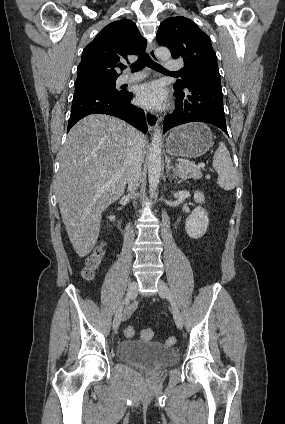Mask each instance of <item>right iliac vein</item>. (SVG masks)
<instances>
[{"mask_svg":"<svg viewBox=\"0 0 285 424\" xmlns=\"http://www.w3.org/2000/svg\"><path fill=\"white\" fill-rule=\"evenodd\" d=\"M136 290H137V282L134 280L129 284V286L127 288L125 299L115 312L114 319H113V330L114 331H117V329H118V327L121 323V320H126L129 317V315H130L129 309H124V306L128 303V301L130 299H132L134 297Z\"/></svg>","mask_w":285,"mask_h":424,"instance_id":"1","label":"right iliac vein"}]
</instances>
